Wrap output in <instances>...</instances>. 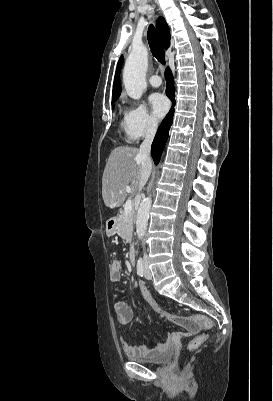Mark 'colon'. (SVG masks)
Segmentation results:
<instances>
[{"mask_svg":"<svg viewBox=\"0 0 273 401\" xmlns=\"http://www.w3.org/2000/svg\"><path fill=\"white\" fill-rule=\"evenodd\" d=\"M139 297L146 301L150 307H154V312L160 316H168L169 320L174 321L185 333H199L197 337H191L185 347L187 353H199L204 342L207 341L206 333H201L205 328H213L215 322L213 319H204L203 314H193V319H186L185 316L178 312H171L166 304H161L158 298H155L153 292L146 283H141L136 289ZM199 319V320H196Z\"/></svg>","mask_w":273,"mask_h":401,"instance_id":"5ec220e1","label":"colon"}]
</instances>
